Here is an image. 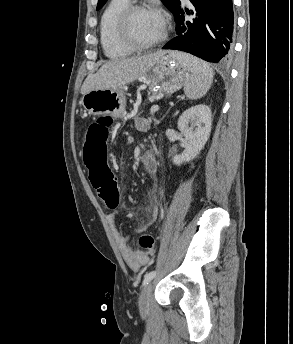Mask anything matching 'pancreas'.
Returning <instances> with one entry per match:
<instances>
[{
	"mask_svg": "<svg viewBox=\"0 0 293 344\" xmlns=\"http://www.w3.org/2000/svg\"><path fill=\"white\" fill-rule=\"evenodd\" d=\"M151 124V120H145V127L149 128Z\"/></svg>",
	"mask_w": 293,
	"mask_h": 344,
	"instance_id": "pancreas-1",
	"label": "pancreas"
}]
</instances>
